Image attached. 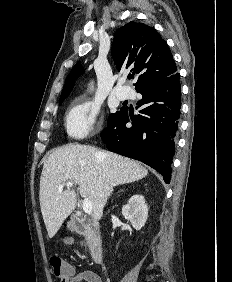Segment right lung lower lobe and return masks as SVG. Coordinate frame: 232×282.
I'll return each mask as SVG.
<instances>
[{
  "label": "right lung lower lobe",
  "instance_id": "obj_1",
  "mask_svg": "<svg viewBox=\"0 0 232 282\" xmlns=\"http://www.w3.org/2000/svg\"><path fill=\"white\" fill-rule=\"evenodd\" d=\"M179 73L150 81L136 89L142 94L139 115L125 108L108 120L102 139L108 149L139 160L163 175L169 184L181 108ZM130 115V117H129ZM131 122L132 127L126 123Z\"/></svg>",
  "mask_w": 232,
  "mask_h": 282
}]
</instances>
